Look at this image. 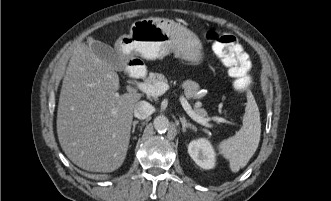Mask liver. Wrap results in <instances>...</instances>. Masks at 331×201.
Returning a JSON list of instances; mask_svg holds the SVG:
<instances>
[{"label": "liver", "instance_id": "6515ba94", "mask_svg": "<svg viewBox=\"0 0 331 201\" xmlns=\"http://www.w3.org/2000/svg\"><path fill=\"white\" fill-rule=\"evenodd\" d=\"M118 89L114 68L95 55L90 43L78 44L62 83L57 135L66 156L84 170L113 172L125 160L141 94L120 95Z\"/></svg>", "mask_w": 331, "mask_h": 201}]
</instances>
